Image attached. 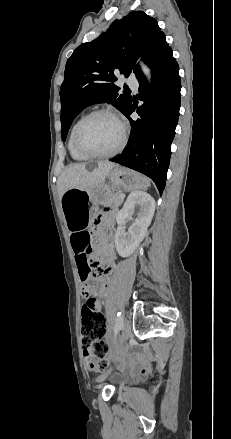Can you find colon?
Masks as SVG:
<instances>
[{
    "label": "colon",
    "instance_id": "5ec220e1",
    "mask_svg": "<svg viewBox=\"0 0 231 439\" xmlns=\"http://www.w3.org/2000/svg\"><path fill=\"white\" fill-rule=\"evenodd\" d=\"M91 264H94V262H91L80 271L84 288L88 291H92L95 287V281L90 272ZM105 332L106 321L104 315L84 305L81 319V341L84 348H91V353H87L85 356L86 367L91 371L102 372L109 366V361L106 359L108 348L101 340Z\"/></svg>",
    "mask_w": 231,
    "mask_h": 439
}]
</instances>
